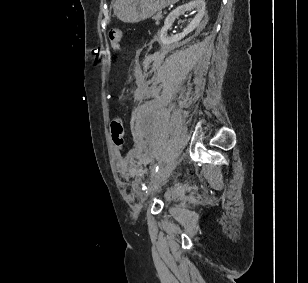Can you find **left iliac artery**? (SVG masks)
I'll use <instances>...</instances> for the list:
<instances>
[{
	"mask_svg": "<svg viewBox=\"0 0 308 283\" xmlns=\"http://www.w3.org/2000/svg\"><path fill=\"white\" fill-rule=\"evenodd\" d=\"M158 171H159V165H155L153 170H152V174L155 175V174L158 173Z\"/></svg>",
	"mask_w": 308,
	"mask_h": 283,
	"instance_id": "left-iliac-artery-1",
	"label": "left iliac artery"
}]
</instances>
